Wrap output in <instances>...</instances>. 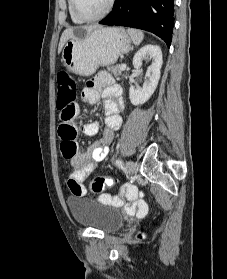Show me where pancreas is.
<instances>
[{
	"label": "pancreas",
	"mask_w": 227,
	"mask_h": 279,
	"mask_svg": "<svg viewBox=\"0 0 227 279\" xmlns=\"http://www.w3.org/2000/svg\"><path fill=\"white\" fill-rule=\"evenodd\" d=\"M107 70L112 72L115 77H119L122 74V70H120V65L109 66Z\"/></svg>",
	"instance_id": "pancreas-1"
}]
</instances>
